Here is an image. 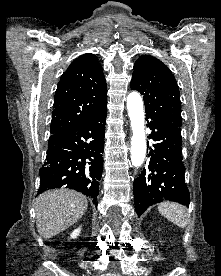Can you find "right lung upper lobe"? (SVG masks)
<instances>
[{
  "label": "right lung upper lobe",
  "instance_id": "1",
  "mask_svg": "<svg viewBox=\"0 0 221 276\" xmlns=\"http://www.w3.org/2000/svg\"><path fill=\"white\" fill-rule=\"evenodd\" d=\"M107 107V85L94 54L75 59L60 78L54 97L50 138L64 136Z\"/></svg>",
  "mask_w": 221,
  "mask_h": 276
}]
</instances>
